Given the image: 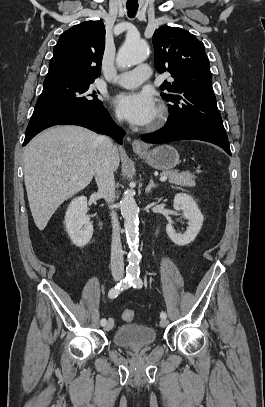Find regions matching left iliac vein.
<instances>
[{
  "label": "left iliac vein",
  "mask_w": 265,
  "mask_h": 407,
  "mask_svg": "<svg viewBox=\"0 0 265 407\" xmlns=\"http://www.w3.org/2000/svg\"><path fill=\"white\" fill-rule=\"evenodd\" d=\"M168 325V320L167 319H161L160 320V326L161 327H166Z\"/></svg>",
  "instance_id": "4c4485c4"
}]
</instances>
